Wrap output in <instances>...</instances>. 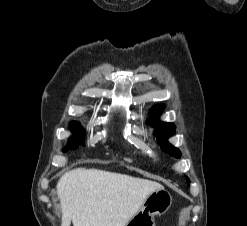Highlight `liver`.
Listing matches in <instances>:
<instances>
[{
	"mask_svg": "<svg viewBox=\"0 0 247 226\" xmlns=\"http://www.w3.org/2000/svg\"><path fill=\"white\" fill-rule=\"evenodd\" d=\"M162 186L151 180L99 169L66 172L57 183L61 226H125L147 196Z\"/></svg>",
	"mask_w": 247,
	"mask_h": 226,
	"instance_id": "6515ba94",
	"label": "liver"
}]
</instances>
